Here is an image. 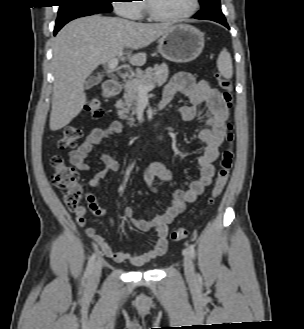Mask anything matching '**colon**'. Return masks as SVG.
I'll return each instance as SVG.
<instances>
[{
    "mask_svg": "<svg viewBox=\"0 0 304 329\" xmlns=\"http://www.w3.org/2000/svg\"><path fill=\"white\" fill-rule=\"evenodd\" d=\"M217 84L222 90L223 100L228 109H231L233 102L232 82L216 74ZM87 111L91 118L99 119L103 115L101 100L98 97H92L87 103ZM227 147L223 150L220 160V167L217 173L215 184L210 192L208 204L212 205L227 185L234 160V133L231 123L227 124ZM81 137V130L76 126H67L63 131V136L58 141V147L62 150L72 149L76 146L77 140ZM51 166L53 169V184L64 191V202L70 211L76 212L81 208V201L84 196V190L79 184V174L77 170L68 164L59 154L51 157ZM188 230L177 228L171 234V239L180 241L187 237Z\"/></svg>",
    "mask_w": 304,
    "mask_h": 329,
    "instance_id": "5ec220e1",
    "label": "colon"
}]
</instances>
